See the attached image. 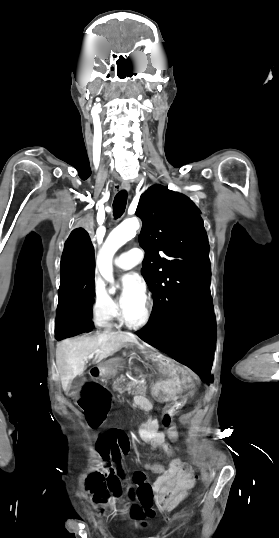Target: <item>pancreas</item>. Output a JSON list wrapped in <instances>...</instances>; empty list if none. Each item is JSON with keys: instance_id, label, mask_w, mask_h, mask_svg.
<instances>
[{"instance_id": "cf45deb5", "label": "pancreas", "mask_w": 279, "mask_h": 538, "mask_svg": "<svg viewBox=\"0 0 279 538\" xmlns=\"http://www.w3.org/2000/svg\"><path fill=\"white\" fill-rule=\"evenodd\" d=\"M113 362H117V360H113ZM126 378L125 376H120V378H116L112 384V388L114 392H123V390H127V392H130V394L133 397H142L145 395V392H143L144 384H146V381H142L140 379H137L134 384H126V386H123V382H125ZM131 388H133V391L131 392Z\"/></svg>"}]
</instances>
